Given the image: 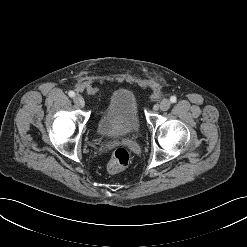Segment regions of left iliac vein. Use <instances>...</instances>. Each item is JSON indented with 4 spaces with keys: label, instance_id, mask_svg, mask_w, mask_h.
Masks as SVG:
<instances>
[{
    "label": "left iliac vein",
    "instance_id": "left-iliac-vein-1",
    "mask_svg": "<svg viewBox=\"0 0 247 247\" xmlns=\"http://www.w3.org/2000/svg\"><path fill=\"white\" fill-rule=\"evenodd\" d=\"M171 106V102L168 99H164L161 101L159 108L162 111H167Z\"/></svg>",
    "mask_w": 247,
    "mask_h": 247
}]
</instances>
